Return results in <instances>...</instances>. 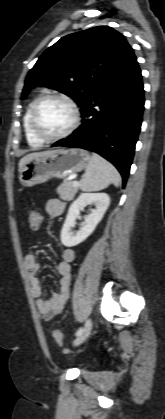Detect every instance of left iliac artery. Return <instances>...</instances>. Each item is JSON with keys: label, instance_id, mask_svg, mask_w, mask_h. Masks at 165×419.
Masks as SVG:
<instances>
[{"label": "left iliac artery", "instance_id": "1", "mask_svg": "<svg viewBox=\"0 0 165 419\" xmlns=\"http://www.w3.org/2000/svg\"><path fill=\"white\" fill-rule=\"evenodd\" d=\"M82 330H83V328H82V327H80V328L76 331L75 335H76V336L80 335V334H81V332H82Z\"/></svg>", "mask_w": 165, "mask_h": 419}]
</instances>
